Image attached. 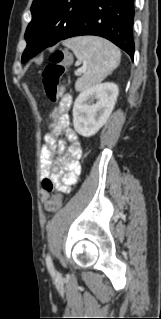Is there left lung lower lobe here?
<instances>
[{
    "label": "left lung lower lobe",
    "instance_id": "1",
    "mask_svg": "<svg viewBox=\"0 0 161 319\" xmlns=\"http://www.w3.org/2000/svg\"><path fill=\"white\" fill-rule=\"evenodd\" d=\"M133 19L134 0H94L61 40L81 35L101 36L133 59ZM33 43V39L28 43L33 47L27 60L38 54Z\"/></svg>",
    "mask_w": 161,
    "mask_h": 319
}]
</instances>
